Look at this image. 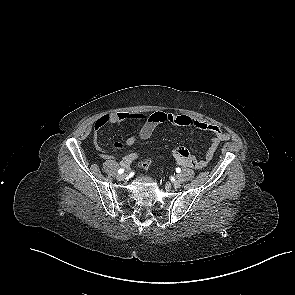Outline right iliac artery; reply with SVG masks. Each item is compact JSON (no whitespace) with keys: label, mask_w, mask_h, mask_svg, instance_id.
<instances>
[{"label":"right iliac artery","mask_w":295,"mask_h":295,"mask_svg":"<svg viewBox=\"0 0 295 295\" xmlns=\"http://www.w3.org/2000/svg\"><path fill=\"white\" fill-rule=\"evenodd\" d=\"M124 172V169L123 168H120L119 170H118V173L119 174H122Z\"/></svg>","instance_id":"82829eb1"}]
</instances>
